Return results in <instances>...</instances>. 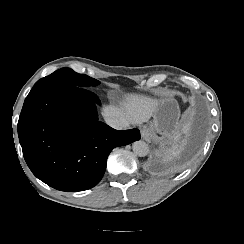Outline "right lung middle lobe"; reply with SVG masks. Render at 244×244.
<instances>
[{
	"label": "right lung middle lobe",
	"mask_w": 244,
	"mask_h": 244,
	"mask_svg": "<svg viewBox=\"0 0 244 244\" xmlns=\"http://www.w3.org/2000/svg\"><path fill=\"white\" fill-rule=\"evenodd\" d=\"M100 82L94 78H91L85 74H78L70 68H61L49 76H46L38 80L34 88L43 85H71L82 88H88L91 86H96Z\"/></svg>",
	"instance_id": "1"
}]
</instances>
